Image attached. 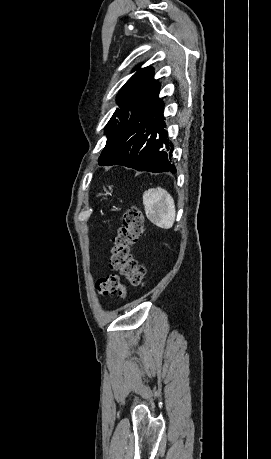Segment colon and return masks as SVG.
<instances>
[{"instance_id": "obj_1", "label": "colon", "mask_w": 271, "mask_h": 459, "mask_svg": "<svg viewBox=\"0 0 271 459\" xmlns=\"http://www.w3.org/2000/svg\"><path fill=\"white\" fill-rule=\"evenodd\" d=\"M122 225L113 240L110 267L118 271L132 286L140 287L144 284L146 268L132 255L131 248L139 241L145 231V219L137 208H129L122 215ZM99 295H118L124 297L126 287L120 278L110 274L99 279L96 283Z\"/></svg>"}]
</instances>
